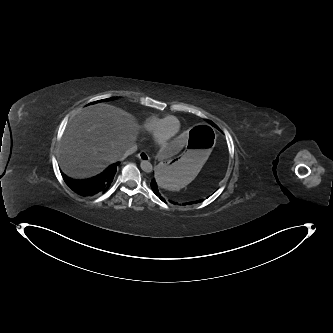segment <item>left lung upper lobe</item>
<instances>
[{
    "label": "left lung upper lobe",
    "instance_id": "left-lung-upper-lobe-1",
    "mask_svg": "<svg viewBox=\"0 0 333 333\" xmlns=\"http://www.w3.org/2000/svg\"><path fill=\"white\" fill-rule=\"evenodd\" d=\"M211 125H213V126H216L214 123H212L211 121H208Z\"/></svg>",
    "mask_w": 333,
    "mask_h": 333
}]
</instances>
